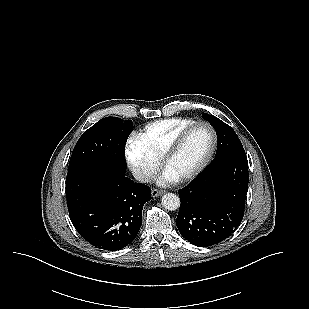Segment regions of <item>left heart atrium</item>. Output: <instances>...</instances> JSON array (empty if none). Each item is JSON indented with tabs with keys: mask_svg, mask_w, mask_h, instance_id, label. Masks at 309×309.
I'll return each instance as SVG.
<instances>
[{
	"mask_svg": "<svg viewBox=\"0 0 309 309\" xmlns=\"http://www.w3.org/2000/svg\"><path fill=\"white\" fill-rule=\"evenodd\" d=\"M175 181H177V177L167 169L163 172V174L159 178V184L161 185H168Z\"/></svg>",
	"mask_w": 309,
	"mask_h": 309,
	"instance_id": "1",
	"label": "left heart atrium"
}]
</instances>
